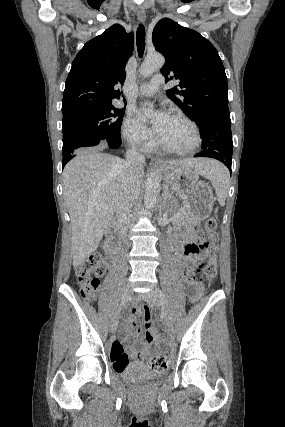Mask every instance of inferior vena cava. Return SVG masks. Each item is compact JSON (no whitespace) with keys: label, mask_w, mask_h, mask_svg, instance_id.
<instances>
[{"label":"inferior vena cava","mask_w":285,"mask_h":427,"mask_svg":"<svg viewBox=\"0 0 285 427\" xmlns=\"http://www.w3.org/2000/svg\"><path fill=\"white\" fill-rule=\"evenodd\" d=\"M144 162V155L137 152L135 146L132 145L126 152V160L124 162L125 187L120 194L116 210V219L122 235L127 233L131 223V208L140 191V187L137 186L135 181V175L142 170Z\"/></svg>","instance_id":"obj_1"}]
</instances>
